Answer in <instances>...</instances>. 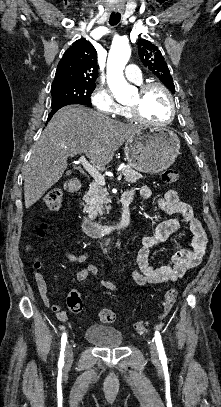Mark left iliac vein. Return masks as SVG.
<instances>
[{
  "mask_svg": "<svg viewBox=\"0 0 221 407\" xmlns=\"http://www.w3.org/2000/svg\"><path fill=\"white\" fill-rule=\"evenodd\" d=\"M150 353H151L152 359L154 361H158L159 353H158L157 346H156L154 341H152L151 344H150Z\"/></svg>",
  "mask_w": 221,
  "mask_h": 407,
  "instance_id": "left-iliac-vein-1",
  "label": "left iliac vein"
}]
</instances>
